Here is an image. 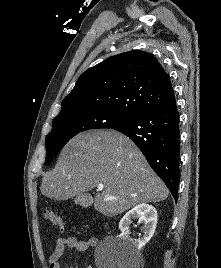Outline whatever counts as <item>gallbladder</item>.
Wrapping results in <instances>:
<instances>
[{
    "label": "gallbladder",
    "mask_w": 221,
    "mask_h": 268,
    "mask_svg": "<svg viewBox=\"0 0 221 268\" xmlns=\"http://www.w3.org/2000/svg\"><path fill=\"white\" fill-rule=\"evenodd\" d=\"M83 199H74V204H80L82 207H89L92 204V197L89 194H84Z\"/></svg>",
    "instance_id": "obj_1"
}]
</instances>
